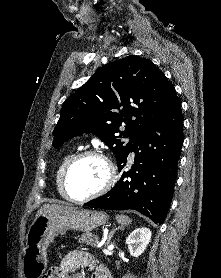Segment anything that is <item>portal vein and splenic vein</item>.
<instances>
[{"label":"portal vein and splenic vein","instance_id":"1","mask_svg":"<svg viewBox=\"0 0 221 278\" xmlns=\"http://www.w3.org/2000/svg\"><path fill=\"white\" fill-rule=\"evenodd\" d=\"M103 245V242L99 243L97 247H101Z\"/></svg>","mask_w":221,"mask_h":278}]
</instances>
